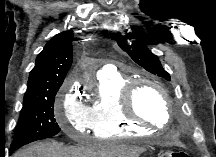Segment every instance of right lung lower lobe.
I'll return each mask as SVG.
<instances>
[{
    "mask_svg": "<svg viewBox=\"0 0 216 157\" xmlns=\"http://www.w3.org/2000/svg\"><path fill=\"white\" fill-rule=\"evenodd\" d=\"M14 150L13 149H10L9 153L11 154Z\"/></svg>",
    "mask_w": 216,
    "mask_h": 157,
    "instance_id": "98d812e1",
    "label": "right lung lower lobe"
}]
</instances>
